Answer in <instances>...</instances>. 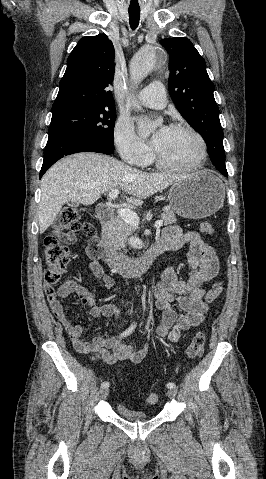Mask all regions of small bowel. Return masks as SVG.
<instances>
[{
	"mask_svg": "<svg viewBox=\"0 0 266 479\" xmlns=\"http://www.w3.org/2000/svg\"><path fill=\"white\" fill-rule=\"evenodd\" d=\"M60 237L68 244L76 241V237L70 234H62ZM159 242L165 250H178L189 246L188 278L179 279L176 268L169 267L163 272L161 281L154 290L156 306L161 311V322L156 333L159 337H167L171 342H178L183 331L203 323L210 303L222 292L221 284L214 281L219 270V261L214 250L197 232H183L178 226H167ZM91 245L95 244L90 243L89 247ZM91 257L93 262L89 266V272L92 280L104 289L113 288L114 278L103 272V265L99 259ZM206 283L211 284L208 291L204 287ZM71 294H76L83 306L90 307L91 318L118 317L121 312L114 304L95 306L94 298L88 289L74 280H66L54 291L47 292L51 311L64 327L78 352L98 356L108 364L122 360L142 362L147 353L146 347L137 350L122 343L119 338H103L98 335L90 340L81 339L82 326L71 322L63 303V300ZM173 303H177L182 313L174 310Z\"/></svg>",
	"mask_w": 266,
	"mask_h": 479,
	"instance_id": "1",
	"label": "small bowel"
}]
</instances>
